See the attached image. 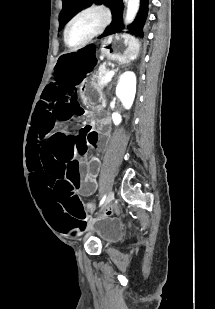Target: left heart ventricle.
<instances>
[{"instance_id": "obj_1", "label": "left heart ventricle", "mask_w": 215, "mask_h": 309, "mask_svg": "<svg viewBox=\"0 0 215 309\" xmlns=\"http://www.w3.org/2000/svg\"><path fill=\"white\" fill-rule=\"evenodd\" d=\"M82 31H83L82 25L76 26L75 29L72 31V35H71L72 40L73 41L78 40L82 34Z\"/></svg>"}]
</instances>
